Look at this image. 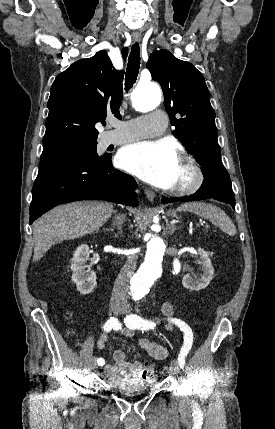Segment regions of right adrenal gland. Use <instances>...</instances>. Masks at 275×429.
<instances>
[{"label":"right adrenal gland","instance_id":"2a0ac1e0","mask_svg":"<svg viewBox=\"0 0 275 429\" xmlns=\"http://www.w3.org/2000/svg\"><path fill=\"white\" fill-rule=\"evenodd\" d=\"M114 218L112 219V226L113 228L117 227L119 235H122V227L125 221V215L120 214L117 212V210L113 211ZM113 231V229H111Z\"/></svg>","mask_w":275,"mask_h":429}]
</instances>
